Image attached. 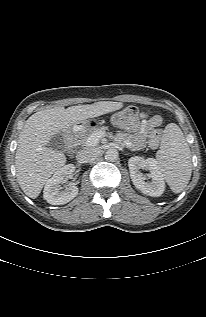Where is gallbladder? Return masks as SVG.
Listing matches in <instances>:
<instances>
[{
    "instance_id": "obj_1",
    "label": "gallbladder",
    "mask_w": 206,
    "mask_h": 317,
    "mask_svg": "<svg viewBox=\"0 0 206 317\" xmlns=\"http://www.w3.org/2000/svg\"><path fill=\"white\" fill-rule=\"evenodd\" d=\"M47 146L53 150L64 152L66 149L64 134L57 133L53 135Z\"/></svg>"
}]
</instances>
